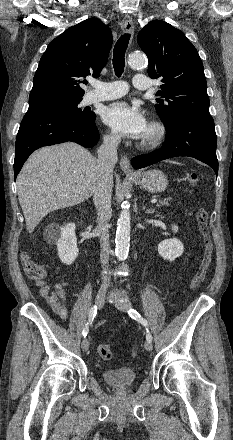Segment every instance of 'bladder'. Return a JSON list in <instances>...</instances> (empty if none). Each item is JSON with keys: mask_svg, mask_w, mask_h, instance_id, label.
I'll use <instances>...</instances> for the list:
<instances>
[{"mask_svg": "<svg viewBox=\"0 0 233 440\" xmlns=\"http://www.w3.org/2000/svg\"><path fill=\"white\" fill-rule=\"evenodd\" d=\"M136 371L131 367H119L103 371L102 378L115 388L130 387L136 380Z\"/></svg>", "mask_w": 233, "mask_h": 440, "instance_id": "obj_1", "label": "bladder"}]
</instances>
